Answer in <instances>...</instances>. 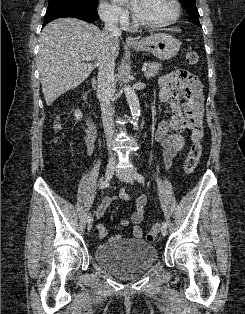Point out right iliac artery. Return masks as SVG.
Segmentation results:
<instances>
[{"label": "right iliac artery", "instance_id": "right-iliac-artery-1", "mask_svg": "<svg viewBox=\"0 0 245 314\" xmlns=\"http://www.w3.org/2000/svg\"><path fill=\"white\" fill-rule=\"evenodd\" d=\"M109 186V182L108 181H104L100 184V189H104L107 188ZM91 220V214L88 215L87 217V222Z\"/></svg>", "mask_w": 245, "mask_h": 314}]
</instances>
